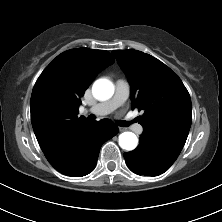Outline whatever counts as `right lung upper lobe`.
I'll return each mask as SVG.
<instances>
[{"label":"right lung upper lobe","instance_id":"cb5924a9","mask_svg":"<svg viewBox=\"0 0 222 222\" xmlns=\"http://www.w3.org/2000/svg\"><path fill=\"white\" fill-rule=\"evenodd\" d=\"M114 62L105 50L76 48L58 55L36 81L31 122L46 157H57L89 121L78 117L80 98L96 75Z\"/></svg>","mask_w":222,"mask_h":222}]
</instances>
